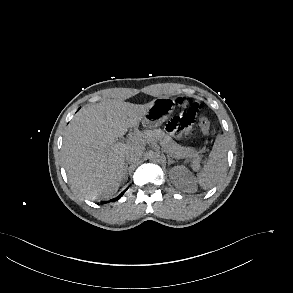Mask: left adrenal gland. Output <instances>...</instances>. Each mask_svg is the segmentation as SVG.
<instances>
[{
    "mask_svg": "<svg viewBox=\"0 0 293 293\" xmlns=\"http://www.w3.org/2000/svg\"><path fill=\"white\" fill-rule=\"evenodd\" d=\"M175 161L170 157V156H168V165H170V164H172V163H174Z\"/></svg>",
    "mask_w": 293,
    "mask_h": 293,
    "instance_id": "obj_1",
    "label": "left adrenal gland"
}]
</instances>
